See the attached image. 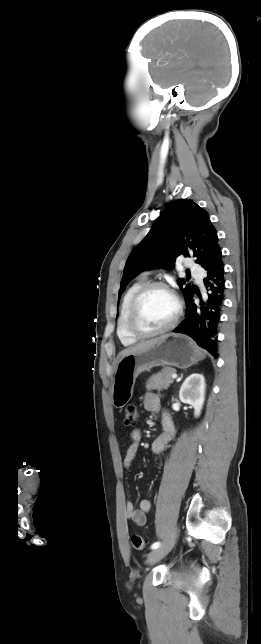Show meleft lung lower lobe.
Listing matches in <instances>:
<instances>
[{
	"mask_svg": "<svg viewBox=\"0 0 261 644\" xmlns=\"http://www.w3.org/2000/svg\"><path fill=\"white\" fill-rule=\"evenodd\" d=\"M204 269L207 272V277L203 281L208 291L204 295H201L196 290L193 291L186 300L185 318L174 332L190 336L199 346L216 357L217 328L220 322L225 290L221 251L208 262ZM194 294H197L200 299L198 304L194 303Z\"/></svg>",
	"mask_w": 261,
	"mask_h": 644,
	"instance_id": "1",
	"label": "left lung lower lobe"
}]
</instances>
